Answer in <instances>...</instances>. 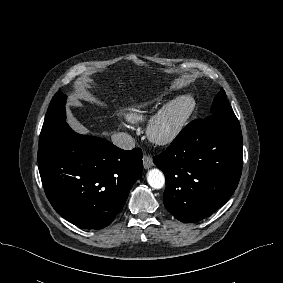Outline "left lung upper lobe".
Here are the masks:
<instances>
[{"label":"left lung upper lobe","instance_id":"5c2ea615","mask_svg":"<svg viewBox=\"0 0 283 283\" xmlns=\"http://www.w3.org/2000/svg\"><path fill=\"white\" fill-rule=\"evenodd\" d=\"M216 113H233V110L226 98V93L223 89L215 96L212 107L211 114Z\"/></svg>","mask_w":283,"mask_h":283}]
</instances>
